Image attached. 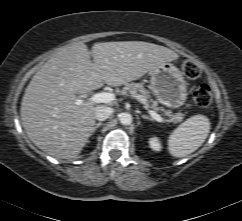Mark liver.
<instances>
[{
    "mask_svg": "<svg viewBox=\"0 0 242 221\" xmlns=\"http://www.w3.org/2000/svg\"><path fill=\"white\" fill-rule=\"evenodd\" d=\"M82 42L63 46L33 76L21 103L29 139L56 159H75L93 133L95 106L77 94L121 86L178 59L171 49L142 41Z\"/></svg>",
    "mask_w": 242,
    "mask_h": 221,
    "instance_id": "6515ba94",
    "label": "liver"
}]
</instances>
